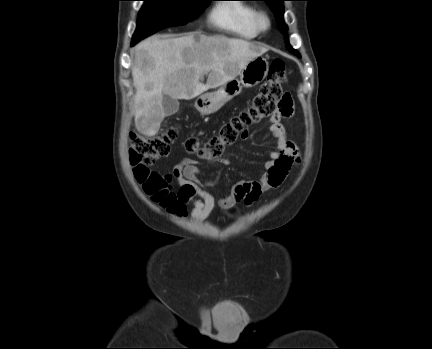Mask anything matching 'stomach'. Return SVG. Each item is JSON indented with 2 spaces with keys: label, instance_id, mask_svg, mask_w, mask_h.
I'll list each match as a JSON object with an SVG mask.
<instances>
[{
  "label": "stomach",
  "instance_id": "0dacf381",
  "mask_svg": "<svg viewBox=\"0 0 432 349\" xmlns=\"http://www.w3.org/2000/svg\"><path fill=\"white\" fill-rule=\"evenodd\" d=\"M268 71L267 59L261 56L255 57L240 72V80L233 79L216 91L200 95L195 101L196 109L202 115L217 112L226 102L236 97L242 87L249 88L261 83L266 78Z\"/></svg>",
  "mask_w": 432,
  "mask_h": 349
}]
</instances>
